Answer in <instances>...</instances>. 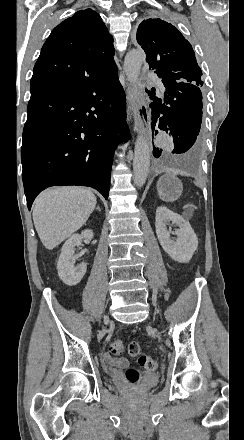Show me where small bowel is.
<instances>
[{
    "mask_svg": "<svg viewBox=\"0 0 244 440\" xmlns=\"http://www.w3.org/2000/svg\"><path fill=\"white\" fill-rule=\"evenodd\" d=\"M105 359L118 367H126L128 365L127 361L124 359H115L111 355L106 354Z\"/></svg>",
    "mask_w": 244,
    "mask_h": 440,
    "instance_id": "1",
    "label": "small bowel"
}]
</instances>
